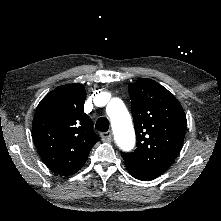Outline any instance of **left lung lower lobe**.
I'll return each mask as SVG.
<instances>
[{"label": "left lung lower lobe", "instance_id": "obj_1", "mask_svg": "<svg viewBox=\"0 0 221 221\" xmlns=\"http://www.w3.org/2000/svg\"><path fill=\"white\" fill-rule=\"evenodd\" d=\"M128 172L136 179H139V180H143V181H148L150 179H148L147 177L141 175L139 172L133 170V169H130L126 166Z\"/></svg>", "mask_w": 221, "mask_h": 221}]
</instances>
